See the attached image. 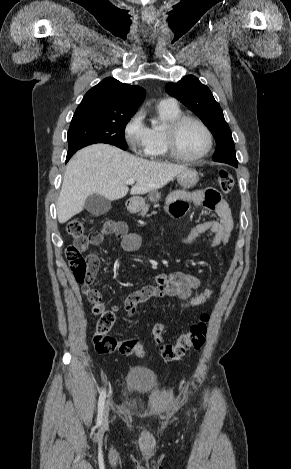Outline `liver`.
<instances>
[{
  "mask_svg": "<svg viewBox=\"0 0 291 469\" xmlns=\"http://www.w3.org/2000/svg\"><path fill=\"white\" fill-rule=\"evenodd\" d=\"M187 166L145 160L108 144H93L79 150L69 161L57 201V216L63 224L83 210L91 194L110 201L125 197L128 179L136 180L131 195L145 194L165 186Z\"/></svg>",
  "mask_w": 291,
  "mask_h": 469,
  "instance_id": "1",
  "label": "liver"
}]
</instances>
